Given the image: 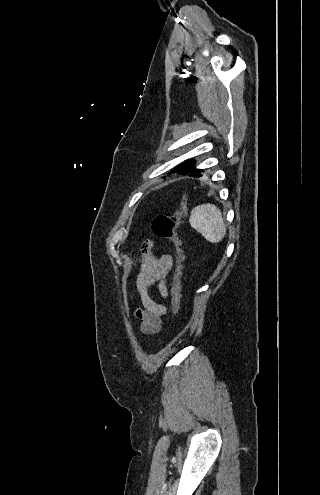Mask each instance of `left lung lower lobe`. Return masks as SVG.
Wrapping results in <instances>:
<instances>
[{
	"mask_svg": "<svg viewBox=\"0 0 320 495\" xmlns=\"http://www.w3.org/2000/svg\"><path fill=\"white\" fill-rule=\"evenodd\" d=\"M205 170L204 169H196V168H192L191 170H189L188 172L184 173V174H188L190 177H202L203 176V172Z\"/></svg>",
	"mask_w": 320,
	"mask_h": 495,
	"instance_id": "0a47b994",
	"label": "left lung lower lobe"
}]
</instances>
